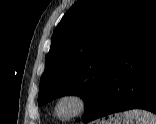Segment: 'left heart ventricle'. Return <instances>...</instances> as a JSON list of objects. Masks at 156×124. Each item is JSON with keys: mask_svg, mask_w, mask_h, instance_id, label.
<instances>
[{"mask_svg": "<svg viewBox=\"0 0 156 124\" xmlns=\"http://www.w3.org/2000/svg\"><path fill=\"white\" fill-rule=\"evenodd\" d=\"M78 102L73 98H67L61 101L57 107L60 115H71L78 110Z\"/></svg>", "mask_w": 156, "mask_h": 124, "instance_id": "left-heart-ventricle-1", "label": "left heart ventricle"}]
</instances>
